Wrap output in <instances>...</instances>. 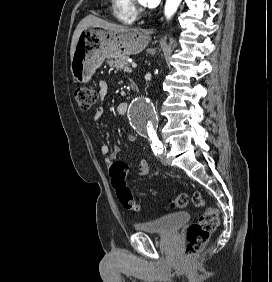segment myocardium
Wrapping results in <instances>:
<instances>
[{
  "instance_id": "f54148a6",
  "label": "myocardium",
  "mask_w": 272,
  "mask_h": 282,
  "mask_svg": "<svg viewBox=\"0 0 272 282\" xmlns=\"http://www.w3.org/2000/svg\"><path fill=\"white\" fill-rule=\"evenodd\" d=\"M129 8L134 14H138L144 11V8L138 0H129Z\"/></svg>"
}]
</instances>
